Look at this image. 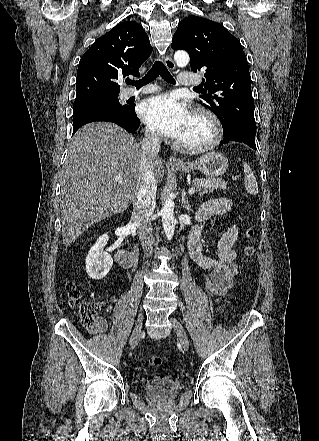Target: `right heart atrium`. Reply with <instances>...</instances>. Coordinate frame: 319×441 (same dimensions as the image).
Here are the masks:
<instances>
[{"label": "right heart atrium", "mask_w": 319, "mask_h": 441, "mask_svg": "<svg viewBox=\"0 0 319 441\" xmlns=\"http://www.w3.org/2000/svg\"><path fill=\"white\" fill-rule=\"evenodd\" d=\"M145 135H146V138L152 142H157L160 138L157 132H155L149 128L146 129Z\"/></svg>", "instance_id": "d8ad5b80"}]
</instances>
